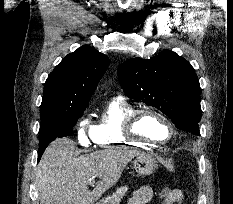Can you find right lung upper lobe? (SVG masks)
<instances>
[{"instance_id": "obj_1", "label": "right lung upper lobe", "mask_w": 233, "mask_h": 204, "mask_svg": "<svg viewBox=\"0 0 233 204\" xmlns=\"http://www.w3.org/2000/svg\"><path fill=\"white\" fill-rule=\"evenodd\" d=\"M108 64V57L89 45L68 54L45 82L41 118L85 110Z\"/></svg>"}]
</instances>
